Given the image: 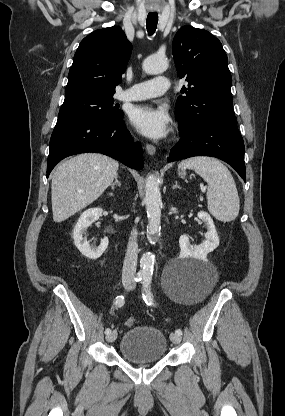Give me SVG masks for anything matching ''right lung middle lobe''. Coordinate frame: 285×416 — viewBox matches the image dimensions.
<instances>
[{
    "label": "right lung middle lobe",
    "instance_id": "obj_1",
    "mask_svg": "<svg viewBox=\"0 0 285 416\" xmlns=\"http://www.w3.org/2000/svg\"><path fill=\"white\" fill-rule=\"evenodd\" d=\"M114 105L113 97L65 98L59 111L58 121L70 120H119L124 113Z\"/></svg>",
    "mask_w": 285,
    "mask_h": 416
}]
</instances>
